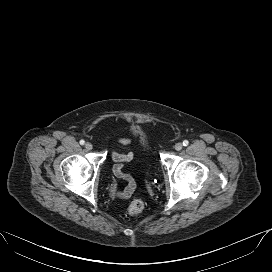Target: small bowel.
<instances>
[{
    "label": "small bowel",
    "instance_id": "c3829d8e",
    "mask_svg": "<svg viewBox=\"0 0 272 272\" xmlns=\"http://www.w3.org/2000/svg\"><path fill=\"white\" fill-rule=\"evenodd\" d=\"M118 143L122 145H128L131 143L132 138L131 137H120L118 138ZM135 152L134 151H129L127 153H117V152H112L111 157L115 161V165L113 167V172L114 174L125 180L127 182V186L123 191H119L116 188H113L112 193L113 196L119 197V198H129L135 187V183L133 178L124 171V164L130 162L134 158Z\"/></svg>",
    "mask_w": 272,
    "mask_h": 272
}]
</instances>
